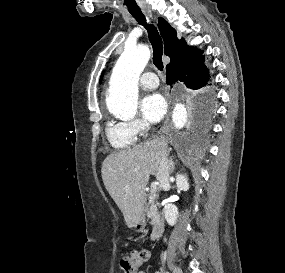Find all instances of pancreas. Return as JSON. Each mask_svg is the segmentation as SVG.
<instances>
[{
    "mask_svg": "<svg viewBox=\"0 0 285 273\" xmlns=\"http://www.w3.org/2000/svg\"><path fill=\"white\" fill-rule=\"evenodd\" d=\"M154 196H155V191H152V190H151V193H150L151 202H152V199L154 198Z\"/></svg>",
    "mask_w": 285,
    "mask_h": 273,
    "instance_id": "obj_1",
    "label": "pancreas"
}]
</instances>
